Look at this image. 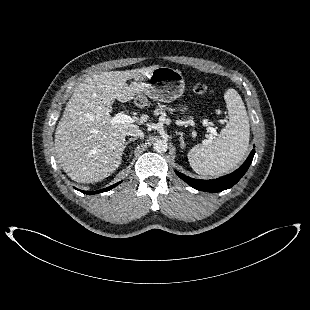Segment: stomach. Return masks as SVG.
I'll list each match as a JSON object with an SVG mask.
<instances>
[{
	"mask_svg": "<svg viewBox=\"0 0 310 310\" xmlns=\"http://www.w3.org/2000/svg\"><path fill=\"white\" fill-rule=\"evenodd\" d=\"M145 89L136 95L135 101L139 106L147 103V98L168 103L176 100L185 90V82L181 72L168 66L156 67L149 76ZM182 114L189 111V106L179 105L176 108Z\"/></svg>",
	"mask_w": 310,
	"mask_h": 310,
	"instance_id": "1",
	"label": "stomach"
}]
</instances>
